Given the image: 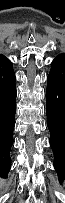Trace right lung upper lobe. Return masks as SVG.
Masks as SVG:
<instances>
[{"instance_id":"obj_1","label":"right lung upper lobe","mask_w":65,"mask_h":203,"mask_svg":"<svg viewBox=\"0 0 65 203\" xmlns=\"http://www.w3.org/2000/svg\"><path fill=\"white\" fill-rule=\"evenodd\" d=\"M11 65L10 60H8L6 57L0 55V66L2 67H8Z\"/></svg>"}]
</instances>
